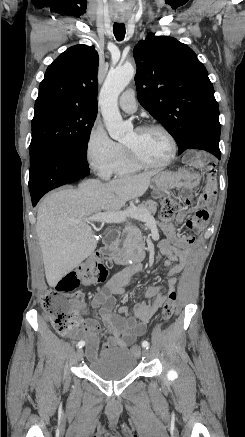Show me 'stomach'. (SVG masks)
Instances as JSON below:
<instances>
[{
  "label": "stomach",
  "instance_id": "obj_1",
  "mask_svg": "<svg viewBox=\"0 0 245 437\" xmlns=\"http://www.w3.org/2000/svg\"><path fill=\"white\" fill-rule=\"evenodd\" d=\"M189 184H191V175L187 170L157 172L151 180L152 197L160 199L172 189H180Z\"/></svg>",
  "mask_w": 245,
  "mask_h": 437
}]
</instances>
